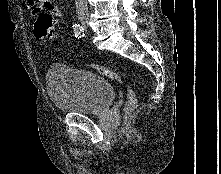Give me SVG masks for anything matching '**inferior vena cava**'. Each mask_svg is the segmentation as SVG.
Returning a JSON list of instances; mask_svg holds the SVG:
<instances>
[{
  "mask_svg": "<svg viewBox=\"0 0 221 174\" xmlns=\"http://www.w3.org/2000/svg\"><path fill=\"white\" fill-rule=\"evenodd\" d=\"M76 4V13L78 17H87L88 16V7L85 0H75Z\"/></svg>",
  "mask_w": 221,
  "mask_h": 174,
  "instance_id": "1",
  "label": "inferior vena cava"
}]
</instances>
